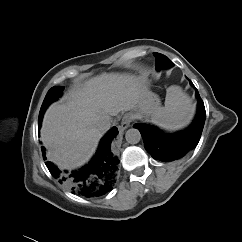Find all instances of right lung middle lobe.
<instances>
[{"label":"right lung middle lobe","instance_id":"obj_1","mask_svg":"<svg viewBox=\"0 0 242 242\" xmlns=\"http://www.w3.org/2000/svg\"><path fill=\"white\" fill-rule=\"evenodd\" d=\"M64 90V87L61 86H56L53 87L49 90V92L47 93L44 102L41 106V110H40V114H39V122L40 120H42L43 114L45 112V110L47 109V107L57 98H59L61 91Z\"/></svg>","mask_w":242,"mask_h":242}]
</instances>
